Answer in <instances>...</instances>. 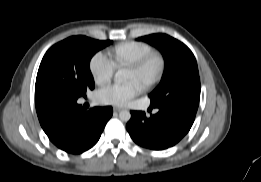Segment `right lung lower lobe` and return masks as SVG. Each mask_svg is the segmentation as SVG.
<instances>
[{"instance_id":"98d812e1","label":"right lung lower lobe","mask_w":261,"mask_h":182,"mask_svg":"<svg viewBox=\"0 0 261 182\" xmlns=\"http://www.w3.org/2000/svg\"><path fill=\"white\" fill-rule=\"evenodd\" d=\"M36 111L49 139L58 148L72 154L93 147L113 113L110 106L86 111L77 101L63 99L38 105Z\"/></svg>"}]
</instances>
